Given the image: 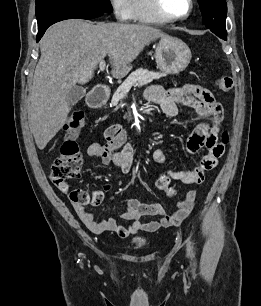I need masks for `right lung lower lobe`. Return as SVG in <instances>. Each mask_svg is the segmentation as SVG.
I'll use <instances>...</instances> for the list:
<instances>
[{
  "label": "right lung lower lobe",
  "instance_id": "right-lung-lower-lobe-1",
  "mask_svg": "<svg viewBox=\"0 0 261 306\" xmlns=\"http://www.w3.org/2000/svg\"><path fill=\"white\" fill-rule=\"evenodd\" d=\"M36 18L38 22L37 42L41 39L46 29L52 24L66 19H93L102 16L103 12L75 10L51 6H36Z\"/></svg>",
  "mask_w": 261,
  "mask_h": 306
}]
</instances>
